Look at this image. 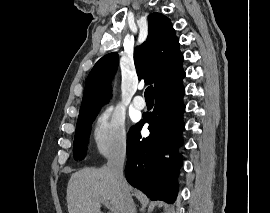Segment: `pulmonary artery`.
<instances>
[{
  "label": "pulmonary artery",
  "mask_w": 270,
  "mask_h": 213,
  "mask_svg": "<svg viewBox=\"0 0 270 213\" xmlns=\"http://www.w3.org/2000/svg\"><path fill=\"white\" fill-rule=\"evenodd\" d=\"M133 104L134 106L139 109V110H142L145 108L146 106V103H145V100L142 96H136L134 99H133Z\"/></svg>",
  "instance_id": "pulmonary-artery-1"
}]
</instances>
